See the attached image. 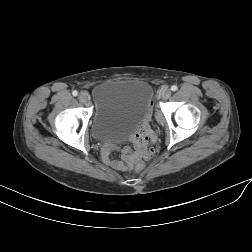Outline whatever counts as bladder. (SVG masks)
Wrapping results in <instances>:
<instances>
[{
  "label": "bladder",
  "mask_w": 252,
  "mask_h": 252,
  "mask_svg": "<svg viewBox=\"0 0 252 252\" xmlns=\"http://www.w3.org/2000/svg\"><path fill=\"white\" fill-rule=\"evenodd\" d=\"M95 115L91 131L101 143L124 141L152 114L151 92L142 80H109L92 92Z\"/></svg>",
  "instance_id": "31cf9c89"
}]
</instances>
